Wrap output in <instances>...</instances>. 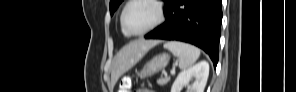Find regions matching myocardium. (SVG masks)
Masks as SVG:
<instances>
[{
    "mask_svg": "<svg viewBox=\"0 0 296 92\" xmlns=\"http://www.w3.org/2000/svg\"><path fill=\"white\" fill-rule=\"evenodd\" d=\"M138 1H146V2H150L151 4H153L157 10V19L155 20V22L152 25H150L145 30H142L139 32H132V31H129L126 27L125 13H126L128 7L132 3L138 2ZM163 20H164V8H163L162 3L157 0H130L126 3L125 7L123 8V11H122L121 17H120L122 30L126 35H129V36H143V35L149 33L150 31L154 30L155 28H157L163 22Z\"/></svg>",
    "mask_w": 296,
    "mask_h": 92,
    "instance_id": "obj_1",
    "label": "myocardium"
}]
</instances>
